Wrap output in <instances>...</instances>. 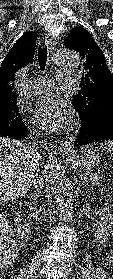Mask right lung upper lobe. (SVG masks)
Returning a JSON list of instances; mask_svg holds the SVG:
<instances>
[{
	"label": "right lung upper lobe",
	"instance_id": "obj_1",
	"mask_svg": "<svg viewBox=\"0 0 113 279\" xmlns=\"http://www.w3.org/2000/svg\"><path fill=\"white\" fill-rule=\"evenodd\" d=\"M37 36L34 32L24 33L4 58L0 66V108L16 103L15 75L32 61Z\"/></svg>",
	"mask_w": 113,
	"mask_h": 279
}]
</instances>
